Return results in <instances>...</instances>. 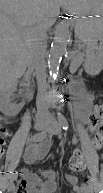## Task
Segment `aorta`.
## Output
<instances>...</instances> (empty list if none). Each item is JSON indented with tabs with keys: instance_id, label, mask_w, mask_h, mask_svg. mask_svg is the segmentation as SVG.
Masks as SVG:
<instances>
[{
	"instance_id": "obj_1",
	"label": "aorta",
	"mask_w": 103,
	"mask_h": 193,
	"mask_svg": "<svg viewBox=\"0 0 103 193\" xmlns=\"http://www.w3.org/2000/svg\"><path fill=\"white\" fill-rule=\"evenodd\" d=\"M70 38L69 25L65 20L58 23L49 53L48 65L53 77L58 71L62 56L65 54Z\"/></svg>"
}]
</instances>
